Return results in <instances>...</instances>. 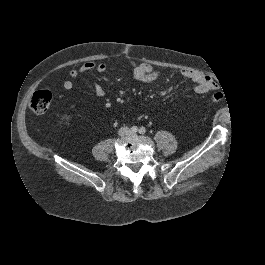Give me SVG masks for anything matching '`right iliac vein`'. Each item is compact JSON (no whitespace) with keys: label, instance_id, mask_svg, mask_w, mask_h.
<instances>
[{"label":"right iliac vein","instance_id":"1","mask_svg":"<svg viewBox=\"0 0 265 265\" xmlns=\"http://www.w3.org/2000/svg\"><path fill=\"white\" fill-rule=\"evenodd\" d=\"M130 134V131L127 128H122L119 130L118 135L119 136H128Z\"/></svg>","mask_w":265,"mask_h":265}]
</instances>
